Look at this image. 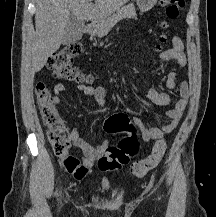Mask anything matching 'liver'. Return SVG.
I'll return each instance as SVG.
<instances>
[{
  "instance_id": "1",
  "label": "liver",
  "mask_w": 216,
  "mask_h": 217,
  "mask_svg": "<svg viewBox=\"0 0 216 217\" xmlns=\"http://www.w3.org/2000/svg\"><path fill=\"white\" fill-rule=\"evenodd\" d=\"M128 0H36V38L33 50L34 70L40 71L62 43L71 15L79 21L102 20L116 12Z\"/></svg>"
}]
</instances>
